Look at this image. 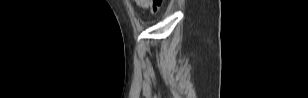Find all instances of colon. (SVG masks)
Returning <instances> with one entry per match:
<instances>
[{"instance_id": "1", "label": "colon", "mask_w": 308, "mask_h": 98, "mask_svg": "<svg viewBox=\"0 0 308 98\" xmlns=\"http://www.w3.org/2000/svg\"><path fill=\"white\" fill-rule=\"evenodd\" d=\"M135 1L138 6H141L143 8L149 7L150 12L152 14H156L159 11L163 2V0H135Z\"/></svg>"}]
</instances>
